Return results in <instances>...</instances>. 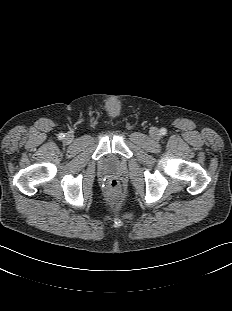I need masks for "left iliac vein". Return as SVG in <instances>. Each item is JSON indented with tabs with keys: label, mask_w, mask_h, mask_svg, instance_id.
I'll list each match as a JSON object with an SVG mask.
<instances>
[{
	"label": "left iliac vein",
	"mask_w": 232,
	"mask_h": 311,
	"mask_svg": "<svg viewBox=\"0 0 232 311\" xmlns=\"http://www.w3.org/2000/svg\"><path fill=\"white\" fill-rule=\"evenodd\" d=\"M150 135L154 139H158L160 137L158 130L155 128L150 131Z\"/></svg>",
	"instance_id": "left-iliac-vein-1"
}]
</instances>
